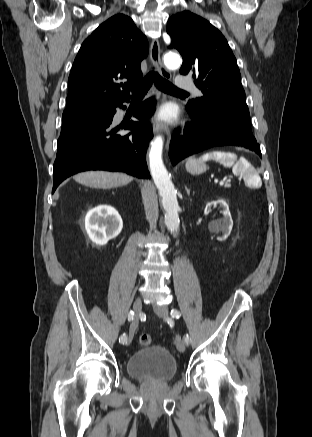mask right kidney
Returning a JSON list of instances; mask_svg holds the SVG:
<instances>
[{"label":"right kidney","mask_w":312,"mask_h":437,"mask_svg":"<svg viewBox=\"0 0 312 437\" xmlns=\"http://www.w3.org/2000/svg\"><path fill=\"white\" fill-rule=\"evenodd\" d=\"M123 222L119 213L109 205H99L91 209L85 217V229L91 241L105 245L121 232Z\"/></svg>","instance_id":"obj_1"}]
</instances>
